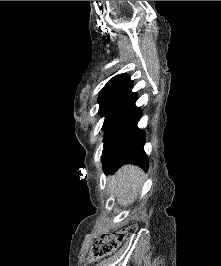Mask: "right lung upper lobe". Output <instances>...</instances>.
Here are the masks:
<instances>
[{"instance_id":"right-lung-upper-lobe-1","label":"right lung upper lobe","mask_w":221,"mask_h":266,"mask_svg":"<svg viewBox=\"0 0 221 266\" xmlns=\"http://www.w3.org/2000/svg\"><path fill=\"white\" fill-rule=\"evenodd\" d=\"M132 81L130 77L126 74H119L112 79H110L102 90L113 89L119 87H132Z\"/></svg>"}]
</instances>
